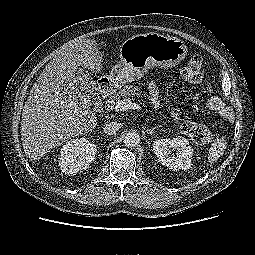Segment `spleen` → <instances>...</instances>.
<instances>
[{
  "mask_svg": "<svg viewBox=\"0 0 255 255\" xmlns=\"http://www.w3.org/2000/svg\"><path fill=\"white\" fill-rule=\"evenodd\" d=\"M226 147L227 143L224 136L215 141L209 149L208 162L213 163L217 161L224 154Z\"/></svg>",
  "mask_w": 255,
  "mask_h": 255,
  "instance_id": "obj_1",
  "label": "spleen"
}]
</instances>
